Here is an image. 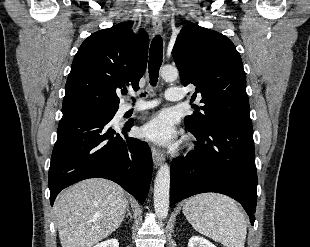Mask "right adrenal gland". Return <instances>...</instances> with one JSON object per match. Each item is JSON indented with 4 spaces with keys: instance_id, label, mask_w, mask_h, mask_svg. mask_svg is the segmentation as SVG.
Wrapping results in <instances>:
<instances>
[{
    "instance_id": "1",
    "label": "right adrenal gland",
    "mask_w": 310,
    "mask_h": 247,
    "mask_svg": "<svg viewBox=\"0 0 310 247\" xmlns=\"http://www.w3.org/2000/svg\"><path fill=\"white\" fill-rule=\"evenodd\" d=\"M128 216L130 217V220H132V214H131L129 205L127 206V215H126V217H128Z\"/></svg>"
}]
</instances>
